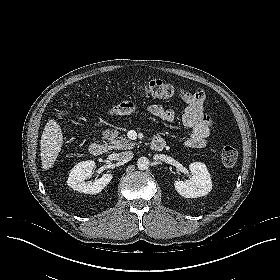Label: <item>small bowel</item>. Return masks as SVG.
I'll return each mask as SVG.
<instances>
[{"label":"small bowel","instance_id":"c3829d8e","mask_svg":"<svg viewBox=\"0 0 280 280\" xmlns=\"http://www.w3.org/2000/svg\"><path fill=\"white\" fill-rule=\"evenodd\" d=\"M179 96L185 103V107L181 111L182 124L190 130L186 145L191 148H203L208 142L212 128L211 118L205 112L206 93L202 89L194 92L180 90ZM120 108L121 105L113 107L110 114L123 116ZM147 111L166 123L173 122L176 117L173 109L161 104H152L147 108Z\"/></svg>","mask_w":280,"mask_h":280}]
</instances>
